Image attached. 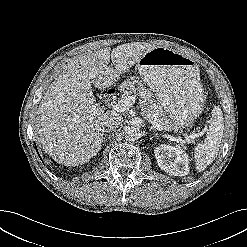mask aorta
Returning <instances> with one entry per match:
<instances>
[{"mask_svg": "<svg viewBox=\"0 0 247 247\" xmlns=\"http://www.w3.org/2000/svg\"><path fill=\"white\" fill-rule=\"evenodd\" d=\"M124 138L127 141H135L140 137V133L134 127H125L123 130Z\"/></svg>", "mask_w": 247, "mask_h": 247, "instance_id": "aorta-1", "label": "aorta"}]
</instances>
